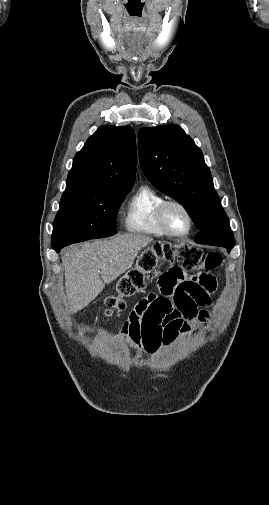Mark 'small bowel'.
Here are the masks:
<instances>
[{"mask_svg":"<svg viewBox=\"0 0 269 505\" xmlns=\"http://www.w3.org/2000/svg\"><path fill=\"white\" fill-rule=\"evenodd\" d=\"M158 287L129 314L122 330L136 349L155 353L162 344L172 343L179 335H187L209 324V313L199 307L210 304L209 295L217 288L214 271L202 268L200 273L187 274L184 268H164L158 275ZM183 288V289H182Z\"/></svg>","mask_w":269,"mask_h":505,"instance_id":"obj_1","label":"small bowel"}]
</instances>
